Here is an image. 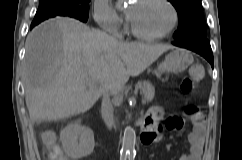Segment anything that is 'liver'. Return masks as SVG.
Segmentation results:
<instances>
[{
  "label": "liver",
  "mask_w": 242,
  "mask_h": 160,
  "mask_svg": "<svg viewBox=\"0 0 242 160\" xmlns=\"http://www.w3.org/2000/svg\"><path fill=\"white\" fill-rule=\"evenodd\" d=\"M25 100L32 121H55L88 111L103 86L119 92L172 45L120 42L71 18L35 27L26 39ZM87 79L95 82L94 86Z\"/></svg>",
  "instance_id": "1"
}]
</instances>
